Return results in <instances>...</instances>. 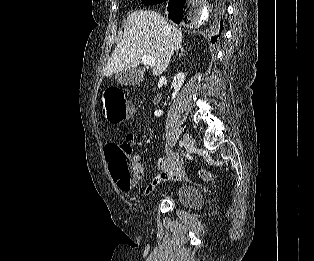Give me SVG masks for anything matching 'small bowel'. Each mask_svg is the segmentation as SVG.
<instances>
[{"mask_svg":"<svg viewBox=\"0 0 314 261\" xmlns=\"http://www.w3.org/2000/svg\"><path fill=\"white\" fill-rule=\"evenodd\" d=\"M127 139H129L132 143L134 142L133 137H127ZM132 161L135 173L138 179H140L143 176L142 156L136 153L133 155ZM154 166L160 172L144 189V193L146 195L151 194L160 183L168 181L173 172H182L181 161L175 154H167L158 158L154 162Z\"/></svg>","mask_w":314,"mask_h":261,"instance_id":"1","label":"small bowel"}]
</instances>
